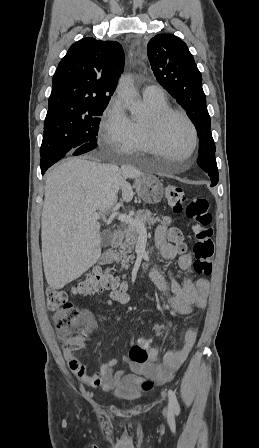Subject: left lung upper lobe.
I'll list each match as a JSON object with an SVG mask.
<instances>
[{
	"label": "left lung upper lobe",
	"instance_id": "5c2ea615",
	"mask_svg": "<svg viewBox=\"0 0 259 448\" xmlns=\"http://www.w3.org/2000/svg\"><path fill=\"white\" fill-rule=\"evenodd\" d=\"M147 54L157 81L186 110L196 126L199 156L215 151L202 75L185 42L172 34H159L149 41Z\"/></svg>",
	"mask_w": 259,
	"mask_h": 448
}]
</instances>
